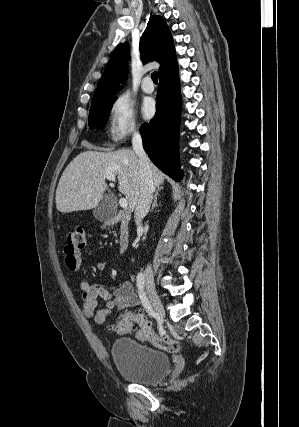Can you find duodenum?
<instances>
[{"label":"duodenum","instance_id":"obj_1","mask_svg":"<svg viewBox=\"0 0 299 427\" xmlns=\"http://www.w3.org/2000/svg\"><path fill=\"white\" fill-rule=\"evenodd\" d=\"M130 221V213L128 211H119L110 221L111 224H119V252L125 253L129 245V237L127 232V225Z\"/></svg>","mask_w":299,"mask_h":427}]
</instances>
